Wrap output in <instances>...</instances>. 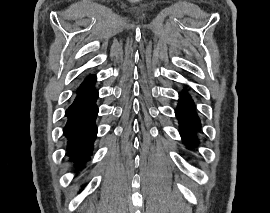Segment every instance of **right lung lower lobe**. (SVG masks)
<instances>
[{"label":"right lung lower lobe","mask_w":270,"mask_h":213,"mask_svg":"<svg viewBox=\"0 0 270 213\" xmlns=\"http://www.w3.org/2000/svg\"><path fill=\"white\" fill-rule=\"evenodd\" d=\"M95 76L87 77L77 90L73 103L66 111L68 117L64 135L68 139L67 151L75 167L80 169L90 160L92 145L97 134L95 119L98 113L94 89Z\"/></svg>","instance_id":"1"}]
</instances>
